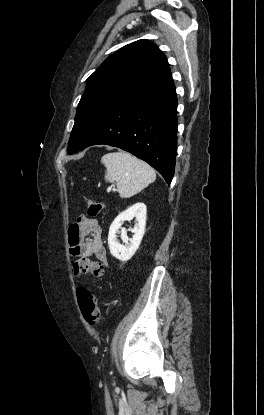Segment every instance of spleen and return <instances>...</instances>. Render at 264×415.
<instances>
[{
  "label": "spleen",
  "instance_id": "spleen-1",
  "mask_svg": "<svg viewBox=\"0 0 264 415\" xmlns=\"http://www.w3.org/2000/svg\"><path fill=\"white\" fill-rule=\"evenodd\" d=\"M101 163L106 167L105 180L117 185L122 198L136 195L156 180L151 166L124 151L107 153Z\"/></svg>",
  "mask_w": 264,
  "mask_h": 415
}]
</instances>
